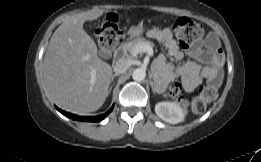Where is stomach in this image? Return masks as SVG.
Returning <instances> with one entry per match:
<instances>
[{"mask_svg":"<svg viewBox=\"0 0 261 162\" xmlns=\"http://www.w3.org/2000/svg\"><path fill=\"white\" fill-rule=\"evenodd\" d=\"M144 32L143 26H133L129 29L128 34L131 37H136L141 35Z\"/></svg>","mask_w":261,"mask_h":162,"instance_id":"obj_1","label":"stomach"}]
</instances>
